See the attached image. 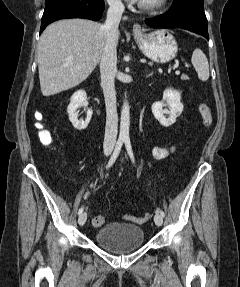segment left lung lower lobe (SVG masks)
<instances>
[{"label": "left lung lower lobe", "instance_id": "0a47b994", "mask_svg": "<svg viewBox=\"0 0 240 287\" xmlns=\"http://www.w3.org/2000/svg\"><path fill=\"white\" fill-rule=\"evenodd\" d=\"M152 28H182L209 40L203 0H175L167 13L145 20Z\"/></svg>", "mask_w": 240, "mask_h": 287}]
</instances>
